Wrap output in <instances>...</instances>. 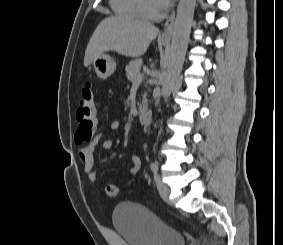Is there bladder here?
Masks as SVG:
<instances>
[{
  "mask_svg": "<svg viewBox=\"0 0 283 245\" xmlns=\"http://www.w3.org/2000/svg\"><path fill=\"white\" fill-rule=\"evenodd\" d=\"M115 229L127 245H186L185 237L147 207L122 202L112 213Z\"/></svg>",
  "mask_w": 283,
  "mask_h": 245,
  "instance_id": "1",
  "label": "bladder"
}]
</instances>
